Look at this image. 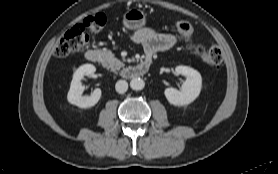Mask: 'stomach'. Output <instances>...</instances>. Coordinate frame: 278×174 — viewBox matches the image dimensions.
I'll return each instance as SVG.
<instances>
[{"instance_id": "stomach-1", "label": "stomach", "mask_w": 278, "mask_h": 174, "mask_svg": "<svg viewBox=\"0 0 278 174\" xmlns=\"http://www.w3.org/2000/svg\"><path fill=\"white\" fill-rule=\"evenodd\" d=\"M146 24V13L137 8H131L123 15V25L130 30H136Z\"/></svg>"}]
</instances>
